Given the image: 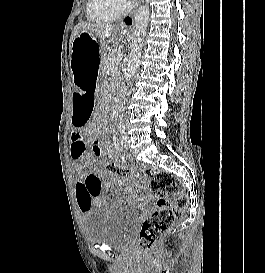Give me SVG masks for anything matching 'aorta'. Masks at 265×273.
Masks as SVG:
<instances>
[{
    "label": "aorta",
    "mask_w": 265,
    "mask_h": 273,
    "mask_svg": "<svg viewBox=\"0 0 265 273\" xmlns=\"http://www.w3.org/2000/svg\"><path fill=\"white\" fill-rule=\"evenodd\" d=\"M150 11L148 6H141L134 17V38L132 41V47L128 63L125 69L124 76L130 79L138 67L139 58L141 56L142 42L146 35L148 26Z\"/></svg>",
    "instance_id": "762f6f07"
}]
</instances>
